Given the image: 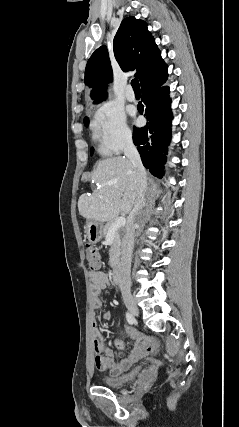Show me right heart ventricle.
Listing matches in <instances>:
<instances>
[{
  "mask_svg": "<svg viewBox=\"0 0 239 427\" xmlns=\"http://www.w3.org/2000/svg\"><path fill=\"white\" fill-rule=\"evenodd\" d=\"M94 138L97 140V141H99L100 142V146H99V152L101 153V154H108L109 152L104 148V146L101 144V141H100V137H99V135L97 134V132L95 131V134H94Z\"/></svg>",
  "mask_w": 239,
  "mask_h": 427,
  "instance_id": "obj_1",
  "label": "right heart ventricle"
}]
</instances>
